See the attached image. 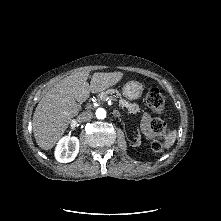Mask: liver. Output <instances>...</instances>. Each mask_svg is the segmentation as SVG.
Wrapping results in <instances>:
<instances>
[{
	"mask_svg": "<svg viewBox=\"0 0 221 221\" xmlns=\"http://www.w3.org/2000/svg\"><path fill=\"white\" fill-rule=\"evenodd\" d=\"M88 76V71L67 76L42 97L33 115V133L40 148L52 149L64 135L79 112L76 101L85 102L90 92L98 93L117 84L123 73H94L90 85Z\"/></svg>",
	"mask_w": 221,
	"mask_h": 221,
	"instance_id": "6515ba94",
	"label": "liver"
}]
</instances>
